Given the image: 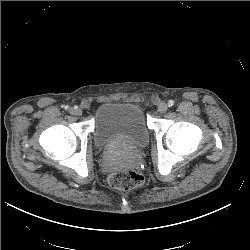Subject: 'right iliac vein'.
<instances>
[{
    "label": "right iliac vein",
    "instance_id": "right-iliac-vein-1",
    "mask_svg": "<svg viewBox=\"0 0 250 250\" xmlns=\"http://www.w3.org/2000/svg\"><path fill=\"white\" fill-rule=\"evenodd\" d=\"M70 114L80 116L82 115V110L80 108H70L69 109Z\"/></svg>",
    "mask_w": 250,
    "mask_h": 250
}]
</instances>
